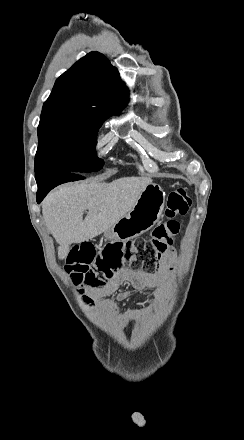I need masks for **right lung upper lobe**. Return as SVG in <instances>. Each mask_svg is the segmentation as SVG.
Instances as JSON below:
<instances>
[{"label":"right lung upper lobe","instance_id":"1","mask_svg":"<svg viewBox=\"0 0 244 440\" xmlns=\"http://www.w3.org/2000/svg\"><path fill=\"white\" fill-rule=\"evenodd\" d=\"M127 102L128 91L117 68L103 54L91 52L56 80L45 104L70 103L118 112Z\"/></svg>","mask_w":244,"mask_h":440}]
</instances>
